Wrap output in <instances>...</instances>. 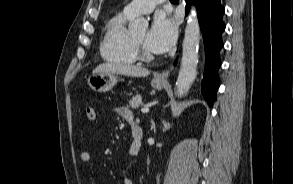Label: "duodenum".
<instances>
[{
    "mask_svg": "<svg viewBox=\"0 0 293 184\" xmlns=\"http://www.w3.org/2000/svg\"><path fill=\"white\" fill-rule=\"evenodd\" d=\"M133 145L135 152H138L141 147L142 130L136 124H132Z\"/></svg>",
    "mask_w": 293,
    "mask_h": 184,
    "instance_id": "410a0bca",
    "label": "duodenum"
}]
</instances>
